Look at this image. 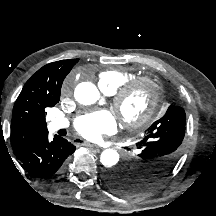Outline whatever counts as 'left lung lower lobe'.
I'll use <instances>...</instances> for the list:
<instances>
[{
	"mask_svg": "<svg viewBox=\"0 0 216 216\" xmlns=\"http://www.w3.org/2000/svg\"><path fill=\"white\" fill-rule=\"evenodd\" d=\"M125 163H123V165L118 169V170H115V171H109L106 173V175L104 176V182L105 184L110 187L113 191H115L116 193L120 194V195H123L121 194L117 189H115V187L113 185H111L109 182L111 180H115L117 178L120 177V175L124 174L127 170H126V167H125ZM125 196V195H123Z\"/></svg>",
	"mask_w": 216,
	"mask_h": 216,
	"instance_id": "left-lung-lower-lobe-1",
	"label": "left lung lower lobe"
}]
</instances>
